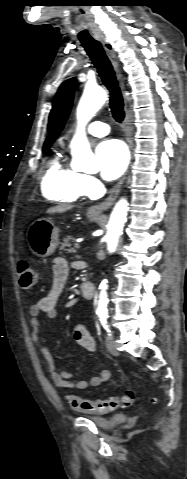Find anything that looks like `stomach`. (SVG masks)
<instances>
[{
  "mask_svg": "<svg viewBox=\"0 0 187 479\" xmlns=\"http://www.w3.org/2000/svg\"><path fill=\"white\" fill-rule=\"evenodd\" d=\"M91 221L99 218L98 215H90ZM59 230L53 221L48 218L36 220L27 233L28 244L32 252L39 257L51 255L59 244Z\"/></svg>",
  "mask_w": 187,
  "mask_h": 479,
  "instance_id": "stomach-1",
  "label": "stomach"
}]
</instances>
